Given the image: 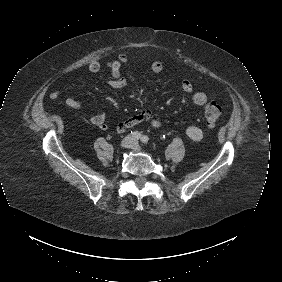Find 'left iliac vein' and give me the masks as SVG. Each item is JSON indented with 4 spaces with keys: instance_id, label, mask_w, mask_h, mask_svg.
Listing matches in <instances>:
<instances>
[{
    "instance_id": "obj_1",
    "label": "left iliac vein",
    "mask_w": 282,
    "mask_h": 282,
    "mask_svg": "<svg viewBox=\"0 0 282 282\" xmlns=\"http://www.w3.org/2000/svg\"><path fill=\"white\" fill-rule=\"evenodd\" d=\"M131 148L134 149V150H137V151L141 150L140 145L135 140L133 141Z\"/></svg>"
}]
</instances>
